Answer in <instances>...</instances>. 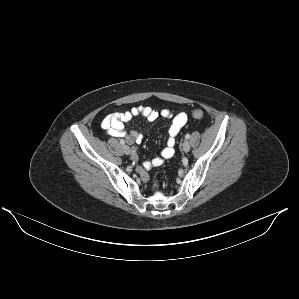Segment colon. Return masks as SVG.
<instances>
[{
	"label": "colon",
	"mask_w": 299,
	"mask_h": 299,
	"mask_svg": "<svg viewBox=\"0 0 299 299\" xmlns=\"http://www.w3.org/2000/svg\"><path fill=\"white\" fill-rule=\"evenodd\" d=\"M192 116L196 119H200L204 116V112L200 109H196L192 112Z\"/></svg>",
	"instance_id": "1"
}]
</instances>
